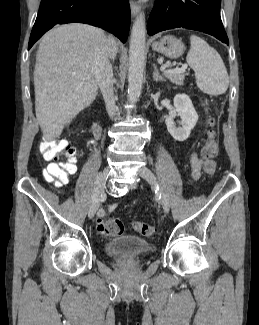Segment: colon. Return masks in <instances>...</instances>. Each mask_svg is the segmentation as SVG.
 <instances>
[{
  "label": "colon",
  "mask_w": 259,
  "mask_h": 325,
  "mask_svg": "<svg viewBox=\"0 0 259 325\" xmlns=\"http://www.w3.org/2000/svg\"><path fill=\"white\" fill-rule=\"evenodd\" d=\"M211 126H213V122H211ZM40 152L46 160H56L59 155H64L65 161L53 162L47 166L44 177L48 182L54 183L57 187L66 184L69 176L76 170V149L65 140L54 139L44 141L40 145ZM216 153V134L212 128L209 131L208 139L202 147L203 168L206 174L211 175L215 172L216 164L213 158ZM133 228L146 237L154 234V227L145 222L136 221L133 223ZM105 231L114 236L121 235L124 232V224L119 218H111L105 223Z\"/></svg>",
  "instance_id": "1"
}]
</instances>
